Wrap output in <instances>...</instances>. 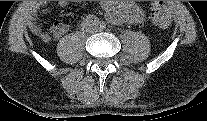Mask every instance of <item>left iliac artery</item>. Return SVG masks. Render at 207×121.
I'll list each match as a JSON object with an SVG mask.
<instances>
[{
	"mask_svg": "<svg viewBox=\"0 0 207 121\" xmlns=\"http://www.w3.org/2000/svg\"><path fill=\"white\" fill-rule=\"evenodd\" d=\"M99 24L101 29H104L106 27V24L103 21L99 22Z\"/></svg>",
	"mask_w": 207,
	"mask_h": 121,
	"instance_id": "44dca946",
	"label": "left iliac artery"
}]
</instances>
